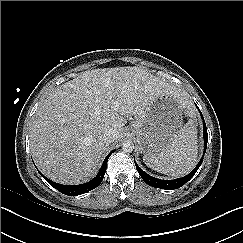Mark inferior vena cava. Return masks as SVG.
I'll return each instance as SVG.
<instances>
[{
    "instance_id": "1",
    "label": "inferior vena cava",
    "mask_w": 243,
    "mask_h": 243,
    "mask_svg": "<svg viewBox=\"0 0 243 243\" xmlns=\"http://www.w3.org/2000/svg\"><path fill=\"white\" fill-rule=\"evenodd\" d=\"M115 135L116 134L113 129H108L103 133L102 138L105 142L112 143L115 140Z\"/></svg>"
}]
</instances>
